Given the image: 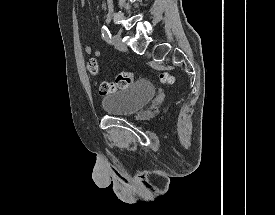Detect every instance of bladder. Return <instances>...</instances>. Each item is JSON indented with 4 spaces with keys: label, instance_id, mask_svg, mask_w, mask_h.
I'll return each instance as SVG.
<instances>
[{
    "label": "bladder",
    "instance_id": "bladder-1",
    "mask_svg": "<svg viewBox=\"0 0 275 215\" xmlns=\"http://www.w3.org/2000/svg\"><path fill=\"white\" fill-rule=\"evenodd\" d=\"M155 93L154 85L146 79H141L125 89L106 95L102 108L109 115L129 117L148 104Z\"/></svg>",
    "mask_w": 275,
    "mask_h": 215
}]
</instances>
